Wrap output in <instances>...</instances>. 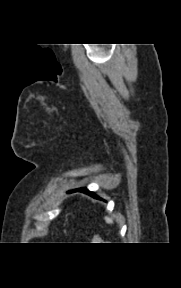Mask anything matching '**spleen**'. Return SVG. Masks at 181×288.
I'll return each instance as SVG.
<instances>
[{"mask_svg":"<svg viewBox=\"0 0 181 288\" xmlns=\"http://www.w3.org/2000/svg\"><path fill=\"white\" fill-rule=\"evenodd\" d=\"M105 220H106L107 223H110V224L113 223V220H112V218H110V217H107V216H106V217H105Z\"/></svg>","mask_w":181,"mask_h":288,"instance_id":"obj_1","label":"spleen"}]
</instances>
